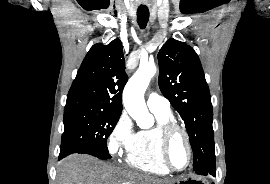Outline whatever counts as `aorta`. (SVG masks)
I'll return each instance as SVG.
<instances>
[{
  "label": "aorta",
  "instance_id": "obj_1",
  "mask_svg": "<svg viewBox=\"0 0 270 184\" xmlns=\"http://www.w3.org/2000/svg\"><path fill=\"white\" fill-rule=\"evenodd\" d=\"M156 71L154 63L140 64L123 91L124 107L141 128H150L154 124V118L144 100V93Z\"/></svg>",
  "mask_w": 270,
  "mask_h": 184
}]
</instances>
